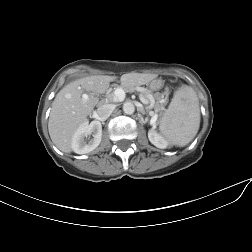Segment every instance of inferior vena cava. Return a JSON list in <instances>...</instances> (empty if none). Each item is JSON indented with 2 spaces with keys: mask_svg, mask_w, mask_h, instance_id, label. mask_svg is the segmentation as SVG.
<instances>
[{
  "mask_svg": "<svg viewBox=\"0 0 252 252\" xmlns=\"http://www.w3.org/2000/svg\"><path fill=\"white\" fill-rule=\"evenodd\" d=\"M114 109V104H103L98 107L97 114L101 119H107Z\"/></svg>",
  "mask_w": 252,
  "mask_h": 252,
  "instance_id": "602c4592",
  "label": "inferior vena cava"
}]
</instances>
